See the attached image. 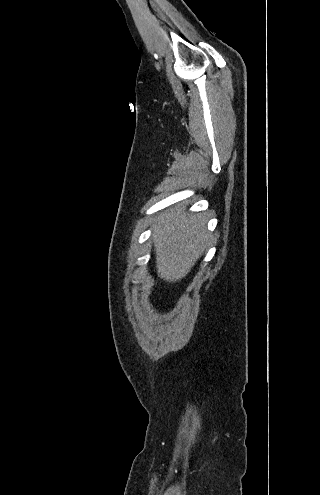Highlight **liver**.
<instances>
[{
	"mask_svg": "<svg viewBox=\"0 0 320 495\" xmlns=\"http://www.w3.org/2000/svg\"><path fill=\"white\" fill-rule=\"evenodd\" d=\"M153 241L158 277L176 282L185 277L206 249L211 235L203 214L176 207L158 216Z\"/></svg>",
	"mask_w": 320,
	"mask_h": 495,
	"instance_id": "liver-1",
	"label": "liver"
}]
</instances>
